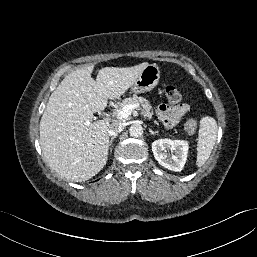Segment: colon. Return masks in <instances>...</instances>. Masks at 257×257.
I'll return each mask as SVG.
<instances>
[{
  "instance_id": "obj_1",
  "label": "colon",
  "mask_w": 257,
  "mask_h": 257,
  "mask_svg": "<svg viewBox=\"0 0 257 257\" xmlns=\"http://www.w3.org/2000/svg\"><path fill=\"white\" fill-rule=\"evenodd\" d=\"M165 94L167 99L172 103L180 102L183 99L182 90L174 85L167 86ZM185 125L188 129H193L195 128L196 123L193 120H187Z\"/></svg>"
}]
</instances>
